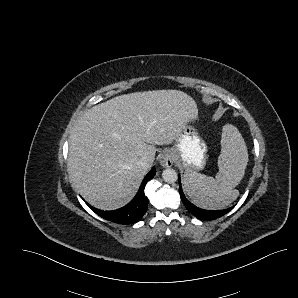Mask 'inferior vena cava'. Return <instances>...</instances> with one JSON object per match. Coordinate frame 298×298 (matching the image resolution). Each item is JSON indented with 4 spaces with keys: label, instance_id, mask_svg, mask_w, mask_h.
Segmentation results:
<instances>
[{
    "label": "inferior vena cava",
    "instance_id": "inferior-vena-cava-1",
    "mask_svg": "<svg viewBox=\"0 0 298 298\" xmlns=\"http://www.w3.org/2000/svg\"><path fill=\"white\" fill-rule=\"evenodd\" d=\"M137 165L143 170H147L152 166L151 162L148 160L147 157L140 158V160L137 162Z\"/></svg>",
    "mask_w": 298,
    "mask_h": 298
}]
</instances>
